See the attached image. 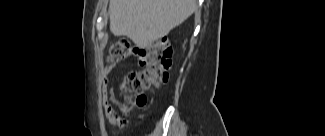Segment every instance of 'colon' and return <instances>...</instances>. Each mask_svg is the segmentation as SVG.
Instances as JSON below:
<instances>
[{
    "mask_svg": "<svg viewBox=\"0 0 325 136\" xmlns=\"http://www.w3.org/2000/svg\"><path fill=\"white\" fill-rule=\"evenodd\" d=\"M130 49V43L126 39L113 43L109 49V62L119 61L125 58ZM147 62L144 70L128 85L129 92L135 96L138 106H143L146 94L168 80L169 70L172 64V48L166 39H160L146 48Z\"/></svg>",
    "mask_w": 325,
    "mask_h": 136,
    "instance_id": "1",
    "label": "colon"
}]
</instances>
